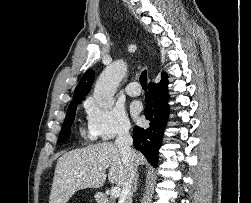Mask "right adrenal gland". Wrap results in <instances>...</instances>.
Masks as SVG:
<instances>
[{
  "label": "right adrenal gland",
  "mask_w": 251,
  "mask_h": 203,
  "mask_svg": "<svg viewBox=\"0 0 251 203\" xmlns=\"http://www.w3.org/2000/svg\"><path fill=\"white\" fill-rule=\"evenodd\" d=\"M139 176L137 175L135 180H134V187H133V192L135 193L137 190V183H138Z\"/></svg>",
  "instance_id": "obj_1"
}]
</instances>
